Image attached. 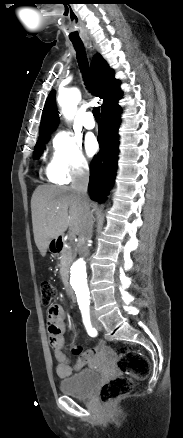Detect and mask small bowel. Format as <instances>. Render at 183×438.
Returning a JSON list of instances; mask_svg holds the SVG:
<instances>
[{
  "instance_id": "1",
  "label": "small bowel",
  "mask_w": 183,
  "mask_h": 438,
  "mask_svg": "<svg viewBox=\"0 0 183 438\" xmlns=\"http://www.w3.org/2000/svg\"><path fill=\"white\" fill-rule=\"evenodd\" d=\"M65 312L60 305H52L47 311V331L50 346L55 359L56 373L60 378H67L74 371L80 370L85 366L99 351L100 346L83 351L81 347L72 344V353L78 356L74 365L69 361V358L63 352L64 346V330H65Z\"/></svg>"
}]
</instances>
